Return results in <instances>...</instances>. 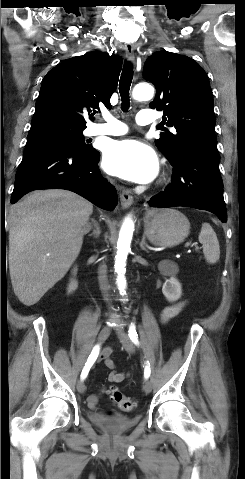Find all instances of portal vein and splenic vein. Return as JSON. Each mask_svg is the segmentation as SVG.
I'll use <instances>...</instances> for the list:
<instances>
[{
  "label": "portal vein and splenic vein",
  "mask_w": 245,
  "mask_h": 479,
  "mask_svg": "<svg viewBox=\"0 0 245 479\" xmlns=\"http://www.w3.org/2000/svg\"><path fill=\"white\" fill-rule=\"evenodd\" d=\"M185 247H186V248H189V247H193V245H191V243L187 242V243L185 244ZM158 251H161V249H159Z\"/></svg>",
  "instance_id": "1"
}]
</instances>
